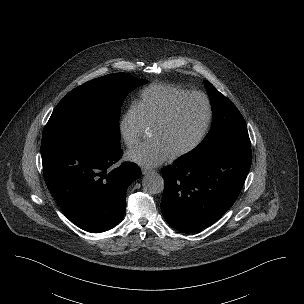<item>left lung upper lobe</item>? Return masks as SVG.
Here are the masks:
<instances>
[{
    "instance_id": "5c2ea615",
    "label": "left lung upper lobe",
    "mask_w": 304,
    "mask_h": 304,
    "mask_svg": "<svg viewBox=\"0 0 304 304\" xmlns=\"http://www.w3.org/2000/svg\"><path fill=\"white\" fill-rule=\"evenodd\" d=\"M211 99L213 122L206 138L182 158L196 161L212 153L228 149H251L245 121L235 107L223 94L208 81L204 82Z\"/></svg>"
}]
</instances>
